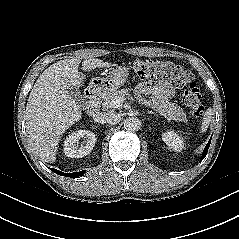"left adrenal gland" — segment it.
<instances>
[{"mask_svg":"<svg viewBox=\"0 0 239 239\" xmlns=\"http://www.w3.org/2000/svg\"><path fill=\"white\" fill-rule=\"evenodd\" d=\"M148 114H153V115H156L154 112L152 111H149Z\"/></svg>","mask_w":239,"mask_h":239,"instance_id":"1","label":"left adrenal gland"}]
</instances>
